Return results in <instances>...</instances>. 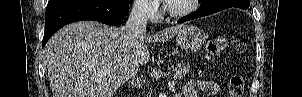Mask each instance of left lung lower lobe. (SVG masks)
Listing matches in <instances>:
<instances>
[{
  "label": "left lung lower lobe",
  "instance_id": "left-lung-lower-lobe-1",
  "mask_svg": "<svg viewBox=\"0 0 302 97\" xmlns=\"http://www.w3.org/2000/svg\"><path fill=\"white\" fill-rule=\"evenodd\" d=\"M217 1L218 0H213L210 4L200 5V7L197 11H195V12H193V13L187 15V16L182 17L181 19L178 20V23H182V22H185V21H188V20L203 17V16H206V15H209V14H212V13L223 10V9L215 8V6L212 5L213 3L217 2ZM242 4L243 5L241 7H238V8L248 9L249 5H250V2L249 1L248 2H242Z\"/></svg>",
  "mask_w": 302,
  "mask_h": 97
}]
</instances>
